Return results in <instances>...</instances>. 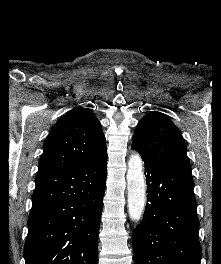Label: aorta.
Instances as JSON below:
<instances>
[{
	"mask_svg": "<svg viewBox=\"0 0 221 264\" xmlns=\"http://www.w3.org/2000/svg\"><path fill=\"white\" fill-rule=\"evenodd\" d=\"M128 212L132 221H139L146 205V183L141 156L134 152L128 161L127 171Z\"/></svg>",
	"mask_w": 221,
	"mask_h": 264,
	"instance_id": "obj_1",
	"label": "aorta"
}]
</instances>
